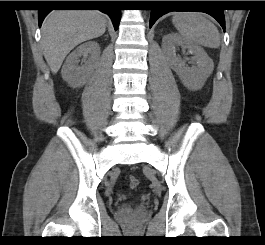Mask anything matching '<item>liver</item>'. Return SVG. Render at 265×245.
I'll return each mask as SVG.
<instances>
[{"mask_svg": "<svg viewBox=\"0 0 265 245\" xmlns=\"http://www.w3.org/2000/svg\"><path fill=\"white\" fill-rule=\"evenodd\" d=\"M106 20L95 10L52 11L42 24L44 57L56 74L65 57L80 43L98 38L105 33Z\"/></svg>", "mask_w": 265, "mask_h": 245, "instance_id": "obj_1", "label": "liver"}]
</instances>
